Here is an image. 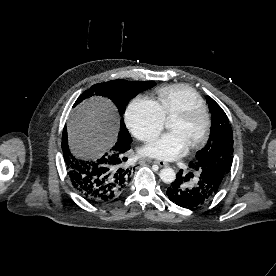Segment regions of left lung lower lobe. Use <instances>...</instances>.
<instances>
[{"mask_svg": "<svg viewBox=\"0 0 276 276\" xmlns=\"http://www.w3.org/2000/svg\"><path fill=\"white\" fill-rule=\"evenodd\" d=\"M190 168L191 171L186 175L180 170L166 191L172 202L188 209L209 202L222 187L220 177L210 173L208 168H203L201 171L191 166Z\"/></svg>", "mask_w": 276, "mask_h": 276, "instance_id": "0a47b994", "label": "left lung lower lobe"}]
</instances>
